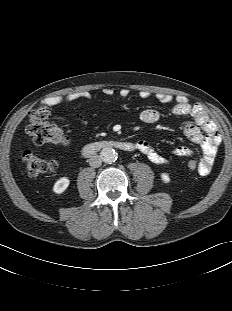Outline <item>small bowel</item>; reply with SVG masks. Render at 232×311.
Segmentation results:
<instances>
[{
	"label": "small bowel",
	"instance_id": "1",
	"mask_svg": "<svg viewBox=\"0 0 232 311\" xmlns=\"http://www.w3.org/2000/svg\"><path fill=\"white\" fill-rule=\"evenodd\" d=\"M106 96H111L113 90L111 88H104L102 90ZM120 99L126 100L130 95V90L122 88L118 93ZM138 96L142 100H147L152 97V93L148 90H140ZM158 101L165 104H172L171 112L177 116H189L191 121L184 125V134L193 143L200 146L202 150V160L199 166L201 174H207L211 170L214 158L217 153V147L221 142V133L217 125L212 121L205 109L196 104H190L183 96H172L167 93L158 92L155 94ZM92 94L87 90L71 92L63 95H53L47 97L44 103L49 106L69 103L75 100H90ZM160 118V112L156 109H144L140 113V119L147 124L155 123ZM74 119L78 122L80 127L86 125V119L81 115H75ZM136 148L142 152L154 165L162 166L168 163V159L159 154L155 149L144 140L136 143ZM196 153V150L188 145H179L172 150L174 157H191Z\"/></svg>",
	"mask_w": 232,
	"mask_h": 311
}]
</instances>
